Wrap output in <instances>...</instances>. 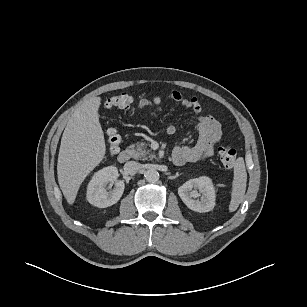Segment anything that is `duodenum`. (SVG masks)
Returning <instances> with one entry per match:
<instances>
[{
    "instance_id": "obj_1",
    "label": "duodenum",
    "mask_w": 307,
    "mask_h": 307,
    "mask_svg": "<svg viewBox=\"0 0 307 307\" xmlns=\"http://www.w3.org/2000/svg\"><path fill=\"white\" fill-rule=\"evenodd\" d=\"M118 153V161L120 162V163H125V162H127L129 159H130V157H131V152H130V150H123V151H121V152H117ZM116 153V154H117Z\"/></svg>"
}]
</instances>
